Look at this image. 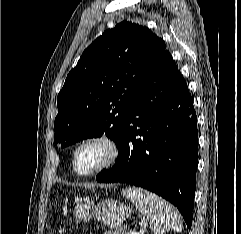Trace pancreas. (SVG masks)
<instances>
[{"mask_svg":"<svg viewBox=\"0 0 241 234\" xmlns=\"http://www.w3.org/2000/svg\"><path fill=\"white\" fill-rule=\"evenodd\" d=\"M110 234H128L125 229L123 228H118V229H115L114 231H112Z\"/></svg>","mask_w":241,"mask_h":234,"instance_id":"obj_1","label":"pancreas"}]
</instances>
